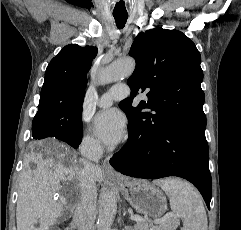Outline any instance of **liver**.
<instances>
[{"instance_id": "liver-1", "label": "liver", "mask_w": 241, "mask_h": 230, "mask_svg": "<svg viewBox=\"0 0 241 230\" xmlns=\"http://www.w3.org/2000/svg\"><path fill=\"white\" fill-rule=\"evenodd\" d=\"M42 146L38 153L26 155L19 182L16 207L17 230H47L63 211V205L71 200L75 207L81 196L79 174L84 164L76 152L61 143ZM33 163V168L30 163ZM96 181L103 180L102 171L94 167ZM75 185V195L65 197L62 203L54 195L62 189L61 182ZM40 223V227L35 225Z\"/></svg>"}]
</instances>
